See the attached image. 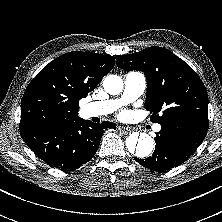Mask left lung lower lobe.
I'll list each match as a JSON object with an SVG mask.
<instances>
[{
    "label": "left lung lower lobe",
    "mask_w": 222,
    "mask_h": 222,
    "mask_svg": "<svg viewBox=\"0 0 222 222\" xmlns=\"http://www.w3.org/2000/svg\"><path fill=\"white\" fill-rule=\"evenodd\" d=\"M152 156L134 158L140 165L165 172L186 161L203 142L209 124L195 119H171L160 123Z\"/></svg>",
    "instance_id": "obj_1"
}]
</instances>
